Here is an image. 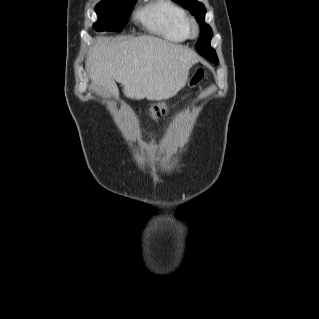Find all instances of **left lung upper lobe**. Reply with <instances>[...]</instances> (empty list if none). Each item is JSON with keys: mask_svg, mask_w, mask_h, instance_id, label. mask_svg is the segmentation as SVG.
<instances>
[{"mask_svg": "<svg viewBox=\"0 0 319 319\" xmlns=\"http://www.w3.org/2000/svg\"><path fill=\"white\" fill-rule=\"evenodd\" d=\"M174 1L181 4L183 7L187 8L196 17L197 21L200 23V27H201L200 38L197 42L196 49L198 50L197 46L200 45L202 50H205L206 54H208L210 57H214L216 53L210 47V41L212 38V30L210 26L204 22V17L206 13L204 5L198 2L197 0H174Z\"/></svg>", "mask_w": 319, "mask_h": 319, "instance_id": "obj_1", "label": "left lung upper lobe"}]
</instances>
